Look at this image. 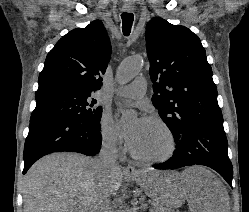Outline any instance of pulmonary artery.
I'll return each mask as SVG.
<instances>
[{
	"mask_svg": "<svg viewBox=\"0 0 249 212\" xmlns=\"http://www.w3.org/2000/svg\"><path fill=\"white\" fill-rule=\"evenodd\" d=\"M147 91V80L144 77H137L130 84L118 87L116 94L118 96L130 99L143 98Z\"/></svg>",
	"mask_w": 249,
	"mask_h": 212,
	"instance_id": "pulmonary-artery-1",
	"label": "pulmonary artery"
}]
</instances>
